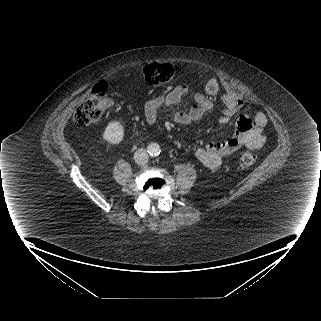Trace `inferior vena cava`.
I'll use <instances>...</instances> for the list:
<instances>
[{
	"label": "inferior vena cava",
	"mask_w": 321,
	"mask_h": 321,
	"mask_svg": "<svg viewBox=\"0 0 321 321\" xmlns=\"http://www.w3.org/2000/svg\"><path fill=\"white\" fill-rule=\"evenodd\" d=\"M148 159V153L144 148H140L134 153V160L138 165H145Z\"/></svg>",
	"instance_id": "inferior-vena-cava-1"
}]
</instances>
